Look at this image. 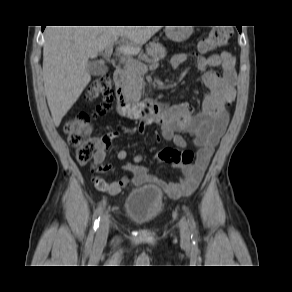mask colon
Returning a JSON list of instances; mask_svg holds the SVG:
<instances>
[{
    "label": "colon",
    "mask_w": 292,
    "mask_h": 292,
    "mask_svg": "<svg viewBox=\"0 0 292 292\" xmlns=\"http://www.w3.org/2000/svg\"><path fill=\"white\" fill-rule=\"evenodd\" d=\"M232 34V28L229 26L215 27L203 39L199 48L203 52H208L224 46L228 43ZM113 94L110 78L106 75L98 77L90 85L87 92V97L90 100L102 99V103L97 106L95 113H80L68 119L64 124V132L71 146L75 148L76 159L80 164L85 165L94 158L96 145L94 140L89 137L90 125L96 115L104 114L108 110L113 100ZM155 158L160 162L172 165H190L194 159V154L188 149L167 147L159 151ZM93 182L98 190L110 193L111 184L102 178H94Z\"/></svg>",
    "instance_id": "5ec220e1"
}]
</instances>
